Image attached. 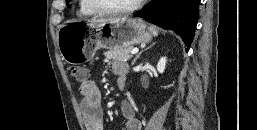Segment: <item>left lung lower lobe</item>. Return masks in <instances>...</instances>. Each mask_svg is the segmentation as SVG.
<instances>
[{
    "mask_svg": "<svg viewBox=\"0 0 257 130\" xmlns=\"http://www.w3.org/2000/svg\"><path fill=\"white\" fill-rule=\"evenodd\" d=\"M199 3L200 0H155L136 12L134 16L175 31L186 46L190 47L197 25Z\"/></svg>",
    "mask_w": 257,
    "mask_h": 130,
    "instance_id": "obj_1",
    "label": "left lung lower lobe"
}]
</instances>
